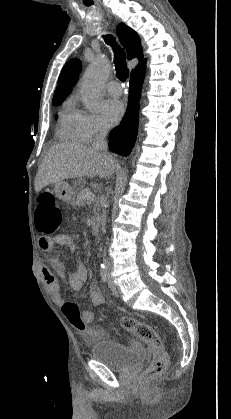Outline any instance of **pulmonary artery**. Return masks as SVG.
<instances>
[{
  "mask_svg": "<svg viewBox=\"0 0 231 419\" xmlns=\"http://www.w3.org/2000/svg\"><path fill=\"white\" fill-rule=\"evenodd\" d=\"M107 91L112 96H120L122 94V87L116 81H111L107 84Z\"/></svg>",
  "mask_w": 231,
  "mask_h": 419,
  "instance_id": "1",
  "label": "pulmonary artery"
}]
</instances>
